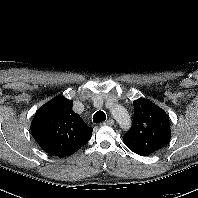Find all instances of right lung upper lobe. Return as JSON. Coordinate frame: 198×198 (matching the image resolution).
Segmentation results:
<instances>
[{
    "label": "right lung upper lobe",
    "mask_w": 198,
    "mask_h": 198,
    "mask_svg": "<svg viewBox=\"0 0 198 198\" xmlns=\"http://www.w3.org/2000/svg\"><path fill=\"white\" fill-rule=\"evenodd\" d=\"M73 102L57 96L40 107L31 123V133L48 154L66 157L91 138L93 129L72 110Z\"/></svg>",
    "instance_id": "right-lung-upper-lobe-1"
}]
</instances>
